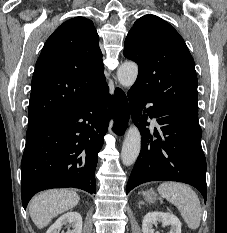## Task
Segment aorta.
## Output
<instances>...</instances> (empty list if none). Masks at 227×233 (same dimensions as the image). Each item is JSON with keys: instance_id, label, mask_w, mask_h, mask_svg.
Returning a JSON list of instances; mask_svg holds the SVG:
<instances>
[{"instance_id": "obj_1", "label": "aorta", "mask_w": 227, "mask_h": 233, "mask_svg": "<svg viewBox=\"0 0 227 233\" xmlns=\"http://www.w3.org/2000/svg\"><path fill=\"white\" fill-rule=\"evenodd\" d=\"M138 75V66L133 62H125L118 68L117 78L119 83L124 87H131ZM141 149V135L136 126L133 124L126 132L122 145L121 159L126 166L135 163Z\"/></svg>"}]
</instances>
